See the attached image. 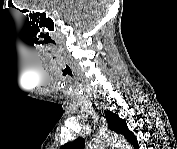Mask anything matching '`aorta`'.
<instances>
[{
  "mask_svg": "<svg viewBox=\"0 0 177 149\" xmlns=\"http://www.w3.org/2000/svg\"><path fill=\"white\" fill-rule=\"evenodd\" d=\"M122 143L123 147H127L124 139H121L117 135L105 134L99 135L92 140V142L88 145L89 149H103L106 145L110 143Z\"/></svg>",
  "mask_w": 177,
  "mask_h": 149,
  "instance_id": "obj_1",
  "label": "aorta"
}]
</instances>
